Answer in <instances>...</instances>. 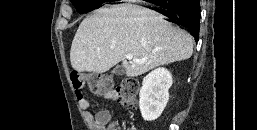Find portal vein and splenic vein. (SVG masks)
I'll return each mask as SVG.
<instances>
[{"instance_id":"1","label":"portal vein and splenic vein","mask_w":257,"mask_h":130,"mask_svg":"<svg viewBox=\"0 0 257 130\" xmlns=\"http://www.w3.org/2000/svg\"><path fill=\"white\" fill-rule=\"evenodd\" d=\"M126 59L132 60L133 62H136V63H142L141 60L134 58L132 54H127Z\"/></svg>"}]
</instances>
